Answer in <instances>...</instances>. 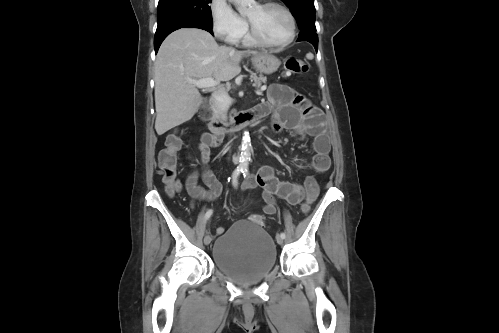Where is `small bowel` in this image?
<instances>
[{
	"mask_svg": "<svg viewBox=\"0 0 499 333\" xmlns=\"http://www.w3.org/2000/svg\"><path fill=\"white\" fill-rule=\"evenodd\" d=\"M265 115L276 107L272 115V127L275 132L284 129L294 131L302 137L313 139L314 157L312 166L317 173H324L330 168L331 160L330 140L326 131L325 119L322 111L314 106L305 96L284 84H272L268 89V101L259 105ZM222 138L213 134H204L199 145L202 168L193 170L186 179V189L193 201L217 199L223 186L214 173L208 168L210 149L220 144ZM201 178L208 189L198 184ZM261 188L262 210L267 215L276 212V200L282 199L289 205H297L304 198V190L300 184L280 181L272 167L259 168L253 177L242 184L243 190ZM224 227L217 229L218 233L224 232Z\"/></svg>",
	"mask_w": 499,
	"mask_h": 333,
	"instance_id": "small-bowel-1",
	"label": "small bowel"
}]
</instances>
